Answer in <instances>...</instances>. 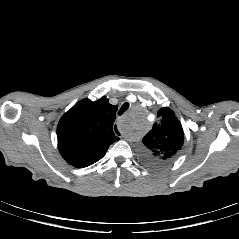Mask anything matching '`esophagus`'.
Here are the masks:
<instances>
[{
	"instance_id": "esophagus-1",
	"label": "esophagus",
	"mask_w": 239,
	"mask_h": 239,
	"mask_svg": "<svg viewBox=\"0 0 239 239\" xmlns=\"http://www.w3.org/2000/svg\"><path fill=\"white\" fill-rule=\"evenodd\" d=\"M113 129H114V131H116V133L117 134H122V132H123V130H122V128H120V126H119V124H114V126H113Z\"/></svg>"
}]
</instances>
